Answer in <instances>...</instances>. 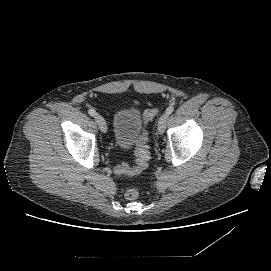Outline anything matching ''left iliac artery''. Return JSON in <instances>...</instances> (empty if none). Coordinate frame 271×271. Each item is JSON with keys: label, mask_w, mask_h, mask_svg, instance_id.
Returning a JSON list of instances; mask_svg holds the SVG:
<instances>
[{"label": "left iliac artery", "mask_w": 271, "mask_h": 271, "mask_svg": "<svg viewBox=\"0 0 271 271\" xmlns=\"http://www.w3.org/2000/svg\"><path fill=\"white\" fill-rule=\"evenodd\" d=\"M174 111V107L173 106H169L166 111H165V114H171L172 112Z\"/></svg>", "instance_id": "obj_1"}]
</instances>
